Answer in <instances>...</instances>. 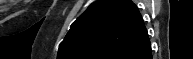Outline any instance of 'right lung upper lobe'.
<instances>
[{"label": "right lung upper lobe", "mask_w": 193, "mask_h": 59, "mask_svg": "<svg viewBox=\"0 0 193 59\" xmlns=\"http://www.w3.org/2000/svg\"><path fill=\"white\" fill-rule=\"evenodd\" d=\"M149 42L132 1L98 0L71 25L57 59H127Z\"/></svg>", "instance_id": "cb5924a9"}]
</instances>
